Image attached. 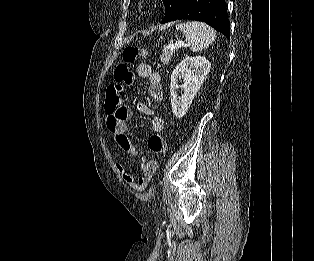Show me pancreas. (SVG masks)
Here are the masks:
<instances>
[{"instance_id":"obj_1","label":"pancreas","mask_w":314,"mask_h":261,"mask_svg":"<svg viewBox=\"0 0 314 261\" xmlns=\"http://www.w3.org/2000/svg\"><path fill=\"white\" fill-rule=\"evenodd\" d=\"M173 52L174 49H169L167 45L164 47L163 53L160 56L161 62H163L164 65H168L170 63Z\"/></svg>"}]
</instances>
